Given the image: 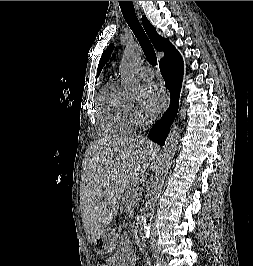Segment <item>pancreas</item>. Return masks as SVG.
<instances>
[{
    "label": "pancreas",
    "mask_w": 253,
    "mask_h": 266,
    "mask_svg": "<svg viewBox=\"0 0 253 266\" xmlns=\"http://www.w3.org/2000/svg\"><path fill=\"white\" fill-rule=\"evenodd\" d=\"M140 199V192L138 188L129 189L126 191L123 197V204L127 208L128 212L132 213L138 204Z\"/></svg>",
    "instance_id": "1"
}]
</instances>
